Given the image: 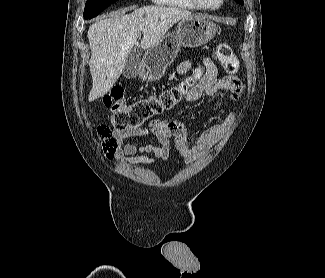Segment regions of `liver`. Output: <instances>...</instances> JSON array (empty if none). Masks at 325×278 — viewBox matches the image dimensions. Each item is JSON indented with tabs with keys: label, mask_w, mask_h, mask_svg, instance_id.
Returning <instances> with one entry per match:
<instances>
[{
	"label": "liver",
	"mask_w": 325,
	"mask_h": 278,
	"mask_svg": "<svg viewBox=\"0 0 325 278\" xmlns=\"http://www.w3.org/2000/svg\"><path fill=\"white\" fill-rule=\"evenodd\" d=\"M132 9V13L125 14ZM192 16L191 12L182 8L153 5L126 8L92 24L87 34L93 81L88 100L94 101L111 90L124 71L126 59L138 43L141 32L143 37L139 46L147 50L159 43L175 23Z\"/></svg>",
	"instance_id": "obj_1"
}]
</instances>
